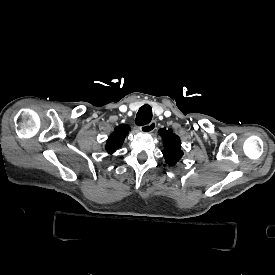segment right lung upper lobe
I'll use <instances>...</instances> for the list:
<instances>
[{
	"instance_id": "1",
	"label": "right lung upper lobe",
	"mask_w": 275,
	"mask_h": 275,
	"mask_svg": "<svg viewBox=\"0 0 275 275\" xmlns=\"http://www.w3.org/2000/svg\"><path fill=\"white\" fill-rule=\"evenodd\" d=\"M129 131L130 127L126 124H121L114 129L105 146L109 154H113L122 145Z\"/></svg>"
}]
</instances>
